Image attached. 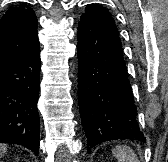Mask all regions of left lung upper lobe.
Wrapping results in <instances>:
<instances>
[{
    "label": "left lung upper lobe",
    "instance_id": "1",
    "mask_svg": "<svg viewBox=\"0 0 168 162\" xmlns=\"http://www.w3.org/2000/svg\"><path fill=\"white\" fill-rule=\"evenodd\" d=\"M85 11L86 12L82 14V16L92 17L118 33L115 21L112 19L110 12H108L104 7L98 5H88Z\"/></svg>",
    "mask_w": 168,
    "mask_h": 162
}]
</instances>
